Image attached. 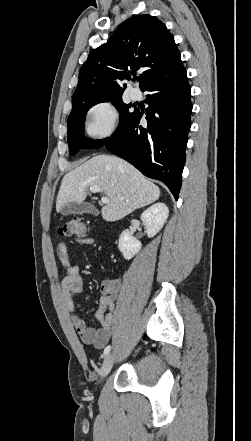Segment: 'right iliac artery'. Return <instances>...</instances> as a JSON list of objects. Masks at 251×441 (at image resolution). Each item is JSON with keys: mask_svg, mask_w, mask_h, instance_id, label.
I'll return each instance as SVG.
<instances>
[{"mask_svg": "<svg viewBox=\"0 0 251 441\" xmlns=\"http://www.w3.org/2000/svg\"><path fill=\"white\" fill-rule=\"evenodd\" d=\"M110 350H111V346L108 345V346L104 349V353H103V355L106 356V355L110 352Z\"/></svg>", "mask_w": 251, "mask_h": 441, "instance_id": "1", "label": "right iliac artery"}]
</instances>
